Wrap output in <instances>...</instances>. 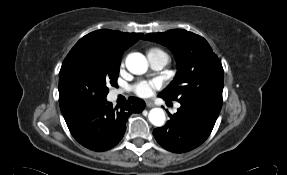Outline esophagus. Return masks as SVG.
<instances>
[{"label":"esophagus","mask_w":287,"mask_h":175,"mask_svg":"<svg viewBox=\"0 0 287 175\" xmlns=\"http://www.w3.org/2000/svg\"><path fill=\"white\" fill-rule=\"evenodd\" d=\"M145 103H146V106L149 107V108L155 106V104L152 101H149V100H147Z\"/></svg>","instance_id":"34e87169"}]
</instances>
